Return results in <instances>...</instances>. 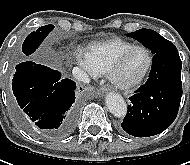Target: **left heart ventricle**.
<instances>
[{
    "instance_id": "left-heart-ventricle-1",
    "label": "left heart ventricle",
    "mask_w": 190,
    "mask_h": 165,
    "mask_svg": "<svg viewBox=\"0 0 190 165\" xmlns=\"http://www.w3.org/2000/svg\"><path fill=\"white\" fill-rule=\"evenodd\" d=\"M147 65V52L143 49H137L125 59L120 76L125 81L134 80L144 72Z\"/></svg>"
}]
</instances>
